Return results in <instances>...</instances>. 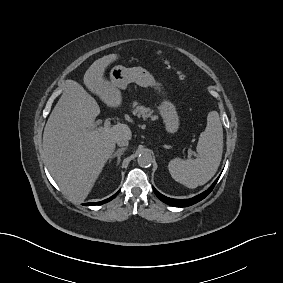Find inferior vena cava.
<instances>
[{"instance_id": "obj_1", "label": "inferior vena cava", "mask_w": 283, "mask_h": 283, "mask_svg": "<svg viewBox=\"0 0 283 283\" xmlns=\"http://www.w3.org/2000/svg\"><path fill=\"white\" fill-rule=\"evenodd\" d=\"M116 143H117L118 146L123 147V146H128L129 141L127 139L119 138L116 141Z\"/></svg>"}]
</instances>
